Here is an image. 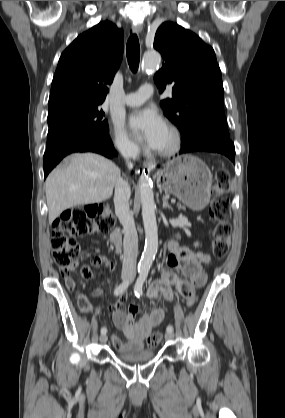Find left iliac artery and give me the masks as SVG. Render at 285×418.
<instances>
[{"label":"left iliac artery","mask_w":285,"mask_h":418,"mask_svg":"<svg viewBox=\"0 0 285 418\" xmlns=\"http://www.w3.org/2000/svg\"><path fill=\"white\" fill-rule=\"evenodd\" d=\"M147 276H148V269H144V270L140 271L139 277H138L137 282H136L135 287H134V293L137 297H140L143 293L142 288H143V284H144ZM166 330H167V332H172L173 327L171 325H169V326H167Z\"/></svg>","instance_id":"1"}]
</instances>
